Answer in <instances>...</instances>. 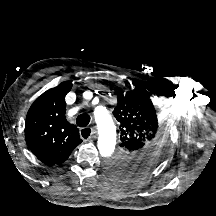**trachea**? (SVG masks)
Wrapping results in <instances>:
<instances>
[{
    "label": "trachea",
    "mask_w": 216,
    "mask_h": 216,
    "mask_svg": "<svg viewBox=\"0 0 216 216\" xmlns=\"http://www.w3.org/2000/svg\"><path fill=\"white\" fill-rule=\"evenodd\" d=\"M90 116L86 113L80 114L77 119H76V123L79 127H86L89 122H90ZM90 135V132H88L87 134H83V137L86 139L88 138V136Z\"/></svg>",
    "instance_id": "trachea-1"
}]
</instances>
